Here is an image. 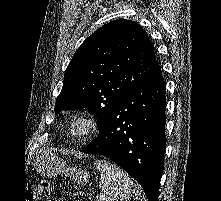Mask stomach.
Masks as SVG:
<instances>
[{
  "label": "stomach",
  "mask_w": 221,
  "mask_h": 201,
  "mask_svg": "<svg viewBox=\"0 0 221 201\" xmlns=\"http://www.w3.org/2000/svg\"><path fill=\"white\" fill-rule=\"evenodd\" d=\"M36 170L44 176H55L65 174L72 176L79 184L88 182L89 173L81 168H70L66 162L51 152L41 153L34 162Z\"/></svg>",
  "instance_id": "obj_1"
}]
</instances>
